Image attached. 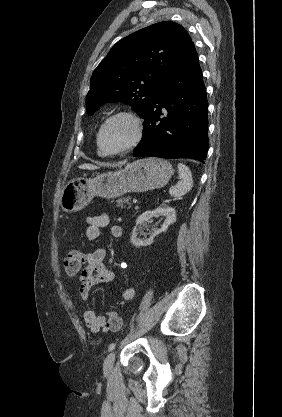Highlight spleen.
Returning a JSON list of instances; mask_svg holds the SVG:
<instances>
[{
	"label": "spleen",
	"instance_id": "obj_1",
	"mask_svg": "<svg viewBox=\"0 0 282 417\" xmlns=\"http://www.w3.org/2000/svg\"><path fill=\"white\" fill-rule=\"evenodd\" d=\"M177 166L181 180H179L175 186H170L169 194H171V196H176V198H181L183 194H186V192L191 190L193 186V178L191 170H189L186 164H183V162H178Z\"/></svg>",
	"mask_w": 282,
	"mask_h": 417
}]
</instances>
